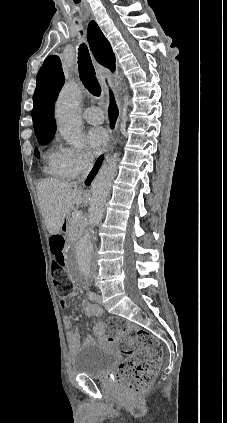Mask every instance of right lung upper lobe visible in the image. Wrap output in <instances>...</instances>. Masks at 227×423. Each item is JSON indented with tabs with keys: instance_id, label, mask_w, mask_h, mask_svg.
<instances>
[{
	"instance_id": "obj_1",
	"label": "right lung upper lobe",
	"mask_w": 227,
	"mask_h": 423,
	"mask_svg": "<svg viewBox=\"0 0 227 423\" xmlns=\"http://www.w3.org/2000/svg\"><path fill=\"white\" fill-rule=\"evenodd\" d=\"M87 39L96 60L113 72L115 55L95 22H91L88 26ZM63 84L64 75L59 57H47L37 74V87L33 96L32 118L37 137L55 134L54 102Z\"/></svg>"
}]
</instances>
